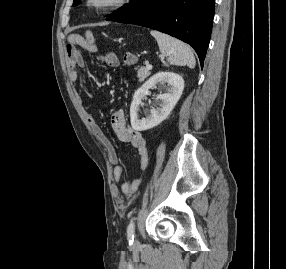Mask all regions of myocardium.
<instances>
[{"label": "myocardium", "mask_w": 286, "mask_h": 269, "mask_svg": "<svg viewBox=\"0 0 286 269\" xmlns=\"http://www.w3.org/2000/svg\"><path fill=\"white\" fill-rule=\"evenodd\" d=\"M131 0H86L87 7L95 13H107L126 6Z\"/></svg>", "instance_id": "myocardium-1"}]
</instances>
